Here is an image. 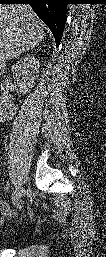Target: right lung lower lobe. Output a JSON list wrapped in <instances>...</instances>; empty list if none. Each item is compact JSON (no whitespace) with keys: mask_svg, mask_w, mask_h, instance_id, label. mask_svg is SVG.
<instances>
[{"mask_svg":"<svg viewBox=\"0 0 106 257\" xmlns=\"http://www.w3.org/2000/svg\"><path fill=\"white\" fill-rule=\"evenodd\" d=\"M0 4H30L39 18L50 28L56 46H59L69 0H0Z\"/></svg>","mask_w":106,"mask_h":257,"instance_id":"1","label":"right lung lower lobe"}]
</instances>
